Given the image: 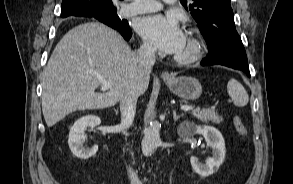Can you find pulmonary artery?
<instances>
[{"label":"pulmonary artery","mask_w":293,"mask_h":184,"mask_svg":"<svg viewBox=\"0 0 293 184\" xmlns=\"http://www.w3.org/2000/svg\"><path fill=\"white\" fill-rule=\"evenodd\" d=\"M163 1L167 4H173L176 2V0ZM161 8V3L157 2L156 0H133L121 8V14L124 16H130L135 14L155 12Z\"/></svg>","instance_id":"e3ab8cb5"}]
</instances>
